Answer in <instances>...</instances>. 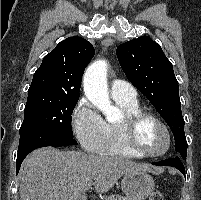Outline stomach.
Returning <instances> with one entry per match:
<instances>
[{
	"label": "stomach",
	"instance_id": "1",
	"mask_svg": "<svg viewBox=\"0 0 201 200\" xmlns=\"http://www.w3.org/2000/svg\"><path fill=\"white\" fill-rule=\"evenodd\" d=\"M154 180L147 172L124 175L121 188L128 200H145L154 191Z\"/></svg>",
	"mask_w": 201,
	"mask_h": 200
}]
</instances>
